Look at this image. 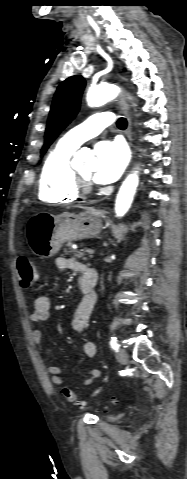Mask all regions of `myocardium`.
Listing matches in <instances>:
<instances>
[{"mask_svg":"<svg viewBox=\"0 0 187 479\" xmlns=\"http://www.w3.org/2000/svg\"><path fill=\"white\" fill-rule=\"evenodd\" d=\"M75 188L79 195L90 194L93 190L90 178L83 176L80 172L74 170Z\"/></svg>","mask_w":187,"mask_h":479,"instance_id":"obj_1","label":"myocardium"}]
</instances>
